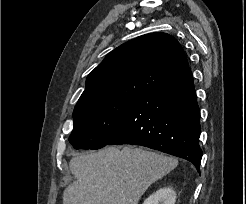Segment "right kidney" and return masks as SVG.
I'll use <instances>...</instances> for the list:
<instances>
[{
    "mask_svg": "<svg viewBox=\"0 0 246 204\" xmlns=\"http://www.w3.org/2000/svg\"><path fill=\"white\" fill-rule=\"evenodd\" d=\"M175 201V191L170 187H165L150 195L143 204H175Z\"/></svg>",
    "mask_w": 246,
    "mask_h": 204,
    "instance_id": "obj_1",
    "label": "right kidney"
}]
</instances>
